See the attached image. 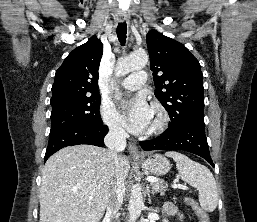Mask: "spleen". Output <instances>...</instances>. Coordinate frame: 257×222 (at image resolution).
Listing matches in <instances>:
<instances>
[{"instance_id": "spleen-1", "label": "spleen", "mask_w": 257, "mask_h": 222, "mask_svg": "<svg viewBox=\"0 0 257 222\" xmlns=\"http://www.w3.org/2000/svg\"><path fill=\"white\" fill-rule=\"evenodd\" d=\"M165 155L174 159L181 179L197 188L201 208L213 212L218 204V190L211 171L182 153L168 151Z\"/></svg>"}]
</instances>
